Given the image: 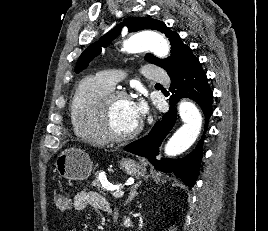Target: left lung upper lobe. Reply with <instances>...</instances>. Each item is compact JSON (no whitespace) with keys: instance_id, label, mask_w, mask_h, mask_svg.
I'll list each match as a JSON object with an SVG mask.
<instances>
[{"instance_id":"5c2ea615","label":"left lung upper lobe","mask_w":268,"mask_h":231,"mask_svg":"<svg viewBox=\"0 0 268 231\" xmlns=\"http://www.w3.org/2000/svg\"><path fill=\"white\" fill-rule=\"evenodd\" d=\"M123 26H127L129 32H136L143 29H152L164 33L169 38L171 44V56L166 59H159L152 54H147L146 59L157 66L162 67L168 74L181 70L195 56L190 47L184 44L177 32L170 30L164 22L151 17H136L123 21V23L102 36L96 43L90 45L79 57L75 72H80L87 67L88 62L96 57L102 47H106L109 42L116 37Z\"/></svg>"}]
</instances>
